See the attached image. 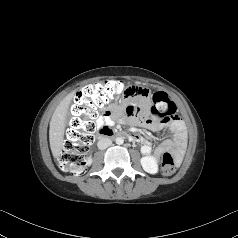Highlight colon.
I'll use <instances>...</instances> for the list:
<instances>
[{
    "instance_id": "5ec220e1",
    "label": "colon",
    "mask_w": 238,
    "mask_h": 238,
    "mask_svg": "<svg viewBox=\"0 0 238 238\" xmlns=\"http://www.w3.org/2000/svg\"><path fill=\"white\" fill-rule=\"evenodd\" d=\"M122 93L130 95L131 91H125L119 81L108 80L85 86L76 94L71 108L73 117L59 158L61 170L71 174L83 172L86 155L98 128L94 119L98 116L100 108ZM150 115L155 121L173 120L176 118V106L167 94L157 92L153 95ZM161 170L164 175L175 172L176 160L171 152L162 155Z\"/></svg>"
}]
</instances>
